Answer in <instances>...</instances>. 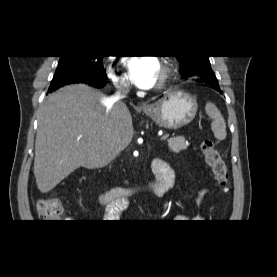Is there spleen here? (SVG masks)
Returning <instances> with one entry per match:
<instances>
[{"mask_svg":"<svg viewBox=\"0 0 277 277\" xmlns=\"http://www.w3.org/2000/svg\"><path fill=\"white\" fill-rule=\"evenodd\" d=\"M206 114L212 119L211 129L214 132V136L218 140H224L226 138V123L221 115V112L215 106V104L208 102L205 106Z\"/></svg>","mask_w":277,"mask_h":277,"instance_id":"1","label":"spleen"}]
</instances>
